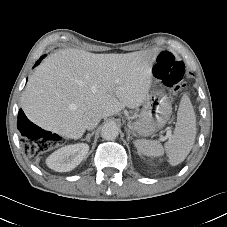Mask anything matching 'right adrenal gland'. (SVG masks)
<instances>
[{"mask_svg": "<svg viewBox=\"0 0 227 227\" xmlns=\"http://www.w3.org/2000/svg\"><path fill=\"white\" fill-rule=\"evenodd\" d=\"M93 134H94V132L87 134V136L85 138H83L82 141L86 140L87 142H90V138Z\"/></svg>", "mask_w": 227, "mask_h": 227, "instance_id": "2a0ac1e0", "label": "right adrenal gland"}]
</instances>
